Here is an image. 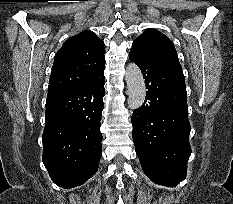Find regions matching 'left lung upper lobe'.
<instances>
[{
    "instance_id": "left-lung-upper-lobe-1",
    "label": "left lung upper lobe",
    "mask_w": 233,
    "mask_h": 204,
    "mask_svg": "<svg viewBox=\"0 0 233 204\" xmlns=\"http://www.w3.org/2000/svg\"><path fill=\"white\" fill-rule=\"evenodd\" d=\"M132 52L140 54L160 64L181 69L176 50L164 34L147 29L132 44Z\"/></svg>"
}]
</instances>
